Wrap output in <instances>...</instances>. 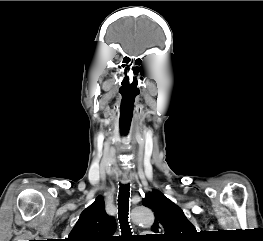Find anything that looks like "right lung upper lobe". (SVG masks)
<instances>
[{
	"label": "right lung upper lobe",
	"mask_w": 263,
	"mask_h": 241,
	"mask_svg": "<svg viewBox=\"0 0 263 241\" xmlns=\"http://www.w3.org/2000/svg\"><path fill=\"white\" fill-rule=\"evenodd\" d=\"M115 219L105 212L102 196L87 207L70 232L67 241H114Z\"/></svg>",
	"instance_id": "right-lung-upper-lobe-1"
}]
</instances>
